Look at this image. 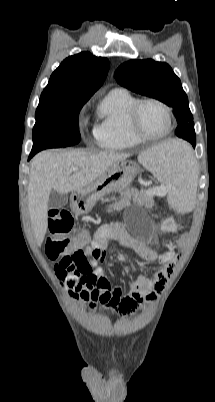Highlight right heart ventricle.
Here are the masks:
<instances>
[{"label":"right heart ventricle","instance_id":"e07e8e85","mask_svg":"<svg viewBox=\"0 0 215 402\" xmlns=\"http://www.w3.org/2000/svg\"><path fill=\"white\" fill-rule=\"evenodd\" d=\"M137 100L125 89H113L104 97L98 107V121L94 127L99 147L126 150L143 142L133 135L128 122L129 111Z\"/></svg>","mask_w":215,"mask_h":402}]
</instances>
